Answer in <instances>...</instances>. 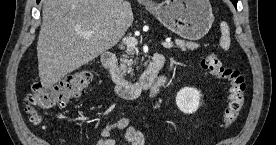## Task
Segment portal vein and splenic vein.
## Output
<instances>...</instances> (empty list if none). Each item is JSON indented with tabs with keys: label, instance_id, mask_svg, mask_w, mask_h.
Returning a JSON list of instances; mask_svg holds the SVG:
<instances>
[{
	"label": "portal vein and splenic vein",
	"instance_id": "portal-vein-and-splenic-vein-1",
	"mask_svg": "<svg viewBox=\"0 0 276 145\" xmlns=\"http://www.w3.org/2000/svg\"><path fill=\"white\" fill-rule=\"evenodd\" d=\"M92 34H93V31H91V30L81 33V35L86 39L90 38L92 36ZM123 42L128 47H135L138 44L137 39L134 38V37L124 38ZM162 46L165 47V48H172L173 44L170 43L169 41H166V42H162Z\"/></svg>",
	"mask_w": 276,
	"mask_h": 145
}]
</instances>
